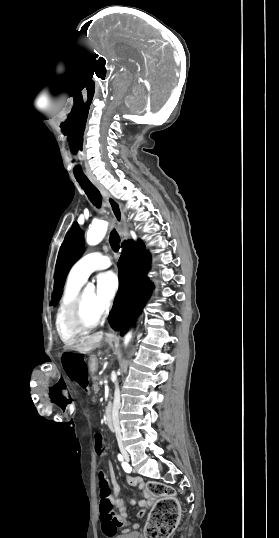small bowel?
Returning a JSON list of instances; mask_svg holds the SVG:
<instances>
[{"label": "small bowel", "instance_id": "small-bowel-1", "mask_svg": "<svg viewBox=\"0 0 279 538\" xmlns=\"http://www.w3.org/2000/svg\"><path fill=\"white\" fill-rule=\"evenodd\" d=\"M109 476H110L112 486H113V494L111 497V501L118 508V514H116L115 516L111 518L102 516V519H103L102 529L106 535H111L119 531L122 533H127L129 532L128 513H127L128 506L129 505L133 506L136 504V502L133 499H123L119 496L120 486L116 481L113 467L110 463H109ZM127 482L129 483V485L133 487H138L145 496V499L139 502V511L137 514L139 518H143L147 512V508L150 506L152 502L151 496L149 492L146 490L145 484L141 478L128 475ZM132 527L134 529H137L139 527V524L134 523L132 524Z\"/></svg>", "mask_w": 279, "mask_h": 538}]
</instances>
